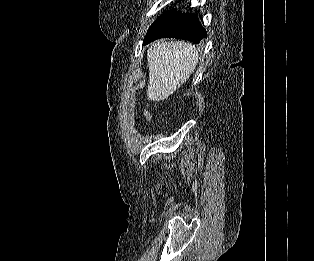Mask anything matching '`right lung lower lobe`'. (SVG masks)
<instances>
[{"instance_id":"right-lung-lower-lobe-1","label":"right lung lower lobe","mask_w":314,"mask_h":261,"mask_svg":"<svg viewBox=\"0 0 314 261\" xmlns=\"http://www.w3.org/2000/svg\"><path fill=\"white\" fill-rule=\"evenodd\" d=\"M206 36V30L201 26L195 14L182 13L172 9L161 15L152 24L143 44L159 38H179L197 44Z\"/></svg>"}]
</instances>
